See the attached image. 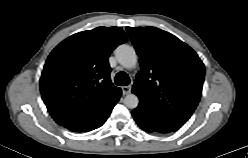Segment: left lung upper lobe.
Returning <instances> with one entry per match:
<instances>
[{
  "mask_svg": "<svg viewBox=\"0 0 248 158\" xmlns=\"http://www.w3.org/2000/svg\"><path fill=\"white\" fill-rule=\"evenodd\" d=\"M141 71L132 92L139 107L174 130L181 128L196 109L205 68L196 52L176 36L155 27H127Z\"/></svg>",
  "mask_w": 248,
  "mask_h": 158,
  "instance_id": "left-lung-upper-lobe-1",
  "label": "left lung upper lobe"
}]
</instances>
